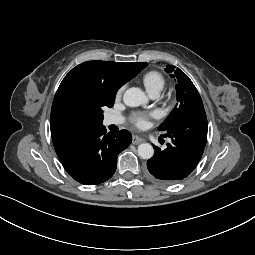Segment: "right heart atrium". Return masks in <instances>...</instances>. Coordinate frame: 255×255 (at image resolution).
I'll use <instances>...</instances> for the list:
<instances>
[{
  "label": "right heart atrium",
  "instance_id": "d8ad5b80",
  "mask_svg": "<svg viewBox=\"0 0 255 255\" xmlns=\"http://www.w3.org/2000/svg\"><path fill=\"white\" fill-rule=\"evenodd\" d=\"M123 91H124V87H121V88L117 91L116 97H117V98H120V97L122 96Z\"/></svg>",
  "mask_w": 255,
  "mask_h": 255
}]
</instances>
